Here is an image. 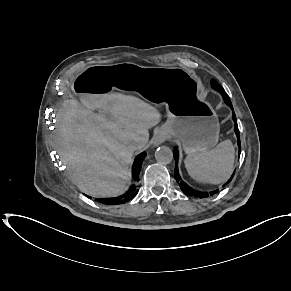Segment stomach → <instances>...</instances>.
<instances>
[{"instance_id":"obj_1","label":"stomach","mask_w":291,"mask_h":291,"mask_svg":"<svg viewBox=\"0 0 291 291\" xmlns=\"http://www.w3.org/2000/svg\"><path fill=\"white\" fill-rule=\"evenodd\" d=\"M74 88L82 95L132 91L151 102L164 103L168 119L161 134L179 139L187 154L207 151L218 142V117L204 100L200 79L185 68L97 65L87 69Z\"/></svg>"}]
</instances>
